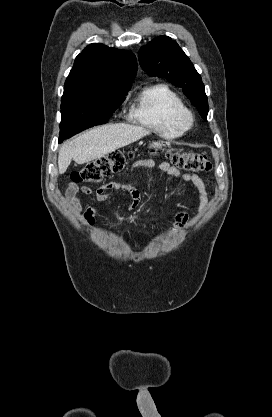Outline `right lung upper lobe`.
<instances>
[{
  "label": "right lung upper lobe",
  "instance_id": "1",
  "mask_svg": "<svg viewBox=\"0 0 272 417\" xmlns=\"http://www.w3.org/2000/svg\"><path fill=\"white\" fill-rule=\"evenodd\" d=\"M136 72L137 61L131 51L91 44L76 57L61 100L130 89Z\"/></svg>",
  "mask_w": 272,
  "mask_h": 417
}]
</instances>
